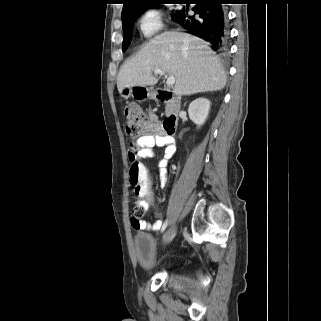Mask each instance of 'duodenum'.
Masks as SVG:
<instances>
[{"instance_id": "410a0bca", "label": "duodenum", "mask_w": 321, "mask_h": 321, "mask_svg": "<svg viewBox=\"0 0 321 321\" xmlns=\"http://www.w3.org/2000/svg\"><path fill=\"white\" fill-rule=\"evenodd\" d=\"M154 96L158 101L167 103L172 109L171 113L163 122V129L165 133L171 136L175 133L177 126L180 98L173 92L166 89L156 90Z\"/></svg>"}]
</instances>
